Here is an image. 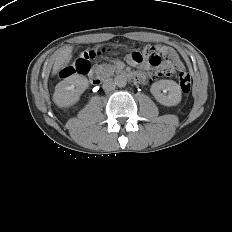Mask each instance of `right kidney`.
Wrapping results in <instances>:
<instances>
[{
    "label": "right kidney",
    "instance_id": "1",
    "mask_svg": "<svg viewBox=\"0 0 232 232\" xmlns=\"http://www.w3.org/2000/svg\"><path fill=\"white\" fill-rule=\"evenodd\" d=\"M87 87L86 77L72 75L56 85L53 100L60 108L69 107L78 102L80 95Z\"/></svg>",
    "mask_w": 232,
    "mask_h": 232
}]
</instances>
